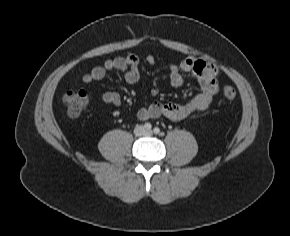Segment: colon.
<instances>
[{"instance_id": "obj_1", "label": "colon", "mask_w": 290, "mask_h": 236, "mask_svg": "<svg viewBox=\"0 0 290 236\" xmlns=\"http://www.w3.org/2000/svg\"><path fill=\"white\" fill-rule=\"evenodd\" d=\"M222 94L227 100H233L236 97V91L231 86H225ZM89 100L90 95L84 89L67 91L62 98L67 108L68 115L71 117L79 116L87 108Z\"/></svg>"}]
</instances>
